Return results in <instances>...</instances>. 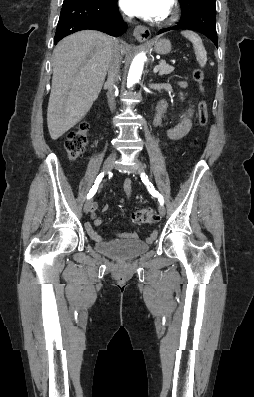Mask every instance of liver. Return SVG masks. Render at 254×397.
<instances>
[{
    "mask_svg": "<svg viewBox=\"0 0 254 397\" xmlns=\"http://www.w3.org/2000/svg\"><path fill=\"white\" fill-rule=\"evenodd\" d=\"M125 54V44L93 30L62 39L53 52L52 87L47 109L51 138L57 140L76 125L97 99L108 70L113 46Z\"/></svg>",
    "mask_w": 254,
    "mask_h": 397,
    "instance_id": "obj_1",
    "label": "liver"
}]
</instances>
